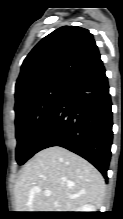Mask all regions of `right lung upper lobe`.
Listing matches in <instances>:
<instances>
[{"label": "right lung upper lobe", "instance_id": "right-lung-upper-lobe-1", "mask_svg": "<svg viewBox=\"0 0 123 219\" xmlns=\"http://www.w3.org/2000/svg\"><path fill=\"white\" fill-rule=\"evenodd\" d=\"M100 58L93 35L78 26H63L43 38L25 58L16 82V101L52 84H66Z\"/></svg>", "mask_w": 123, "mask_h": 219}]
</instances>
